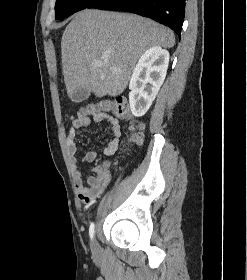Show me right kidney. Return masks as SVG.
<instances>
[{
	"mask_svg": "<svg viewBox=\"0 0 247 280\" xmlns=\"http://www.w3.org/2000/svg\"><path fill=\"white\" fill-rule=\"evenodd\" d=\"M169 52L154 46L140 56L130 79L129 103L135 117L143 116L150 108L166 77Z\"/></svg>",
	"mask_w": 247,
	"mask_h": 280,
	"instance_id": "ca27d5eb",
	"label": "right kidney"
}]
</instances>
